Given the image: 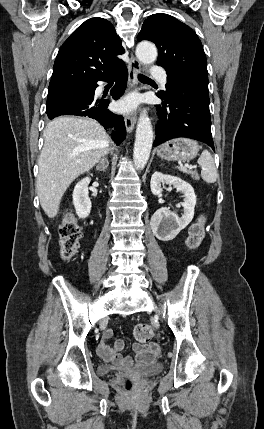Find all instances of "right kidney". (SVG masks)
Returning <instances> with one entry per match:
<instances>
[{
	"instance_id": "right-kidney-1",
	"label": "right kidney",
	"mask_w": 264,
	"mask_h": 429,
	"mask_svg": "<svg viewBox=\"0 0 264 429\" xmlns=\"http://www.w3.org/2000/svg\"><path fill=\"white\" fill-rule=\"evenodd\" d=\"M89 183L90 178L86 177L76 184L73 191V204L79 218L88 217L91 211L92 204L88 191Z\"/></svg>"
}]
</instances>
